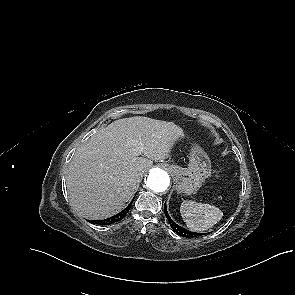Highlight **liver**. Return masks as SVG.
Listing matches in <instances>:
<instances>
[{"instance_id": "liver-1", "label": "liver", "mask_w": 295, "mask_h": 295, "mask_svg": "<svg viewBox=\"0 0 295 295\" xmlns=\"http://www.w3.org/2000/svg\"><path fill=\"white\" fill-rule=\"evenodd\" d=\"M183 137L182 128L173 122L142 116L101 128L77 149L69 165L66 186L71 206L88 219L114 215L153 161L170 157Z\"/></svg>"}]
</instances>
